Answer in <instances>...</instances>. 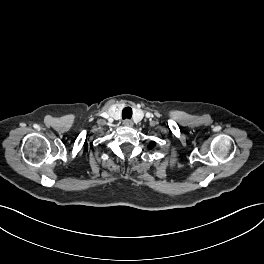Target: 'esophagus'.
<instances>
[{"label":"esophagus","mask_w":264,"mask_h":264,"mask_svg":"<svg viewBox=\"0 0 264 264\" xmlns=\"http://www.w3.org/2000/svg\"><path fill=\"white\" fill-rule=\"evenodd\" d=\"M123 124L127 127H132L133 126V122L129 119L124 120Z\"/></svg>","instance_id":"1"}]
</instances>
